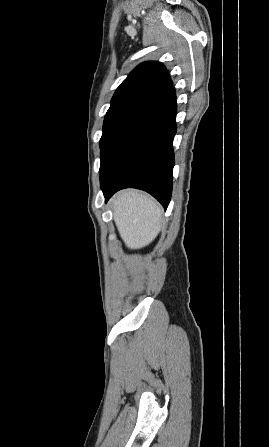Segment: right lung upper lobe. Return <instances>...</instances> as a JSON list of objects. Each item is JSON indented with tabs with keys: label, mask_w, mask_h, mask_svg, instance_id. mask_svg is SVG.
<instances>
[{
	"label": "right lung upper lobe",
	"mask_w": 269,
	"mask_h": 447,
	"mask_svg": "<svg viewBox=\"0 0 269 447\" xmlns=\"http://www.w3.org/2000/svg\"><path fill=\"white\" fill-rule=\"evenodd\" d=\"M171 87L172 82L162 63L144 62L115 91L107 114L123 110L134 112L147 106Z\"/></svg>",
	"instance_id": "right-lung-upper-lobe-1"
}]
</instances>
